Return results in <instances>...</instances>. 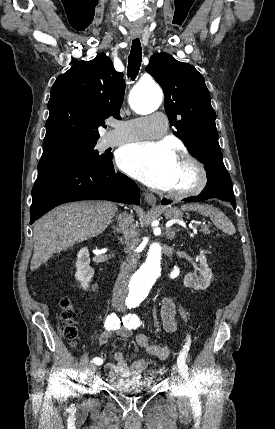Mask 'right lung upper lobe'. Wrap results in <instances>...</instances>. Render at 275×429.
Listing matches in <instances>:
<instances>
[{
  "label": "right lung upper lobe",
  "instance_id": "1",
  "mask_svg": "<svg viewBox=\"0 0 275 429\" xmlns=\"http://www.w3.org/2000/svg\"><path fill=\"white\" fill-rule=\"evenodd\" d=\"M124 92L123 74L104 53L59 75L50 92L42 157L97 142L98 127H106L104 120L120 119Z\"/></svg>",
  "mask_w": 275,
  "mask_h": 429
}]
</instances>
